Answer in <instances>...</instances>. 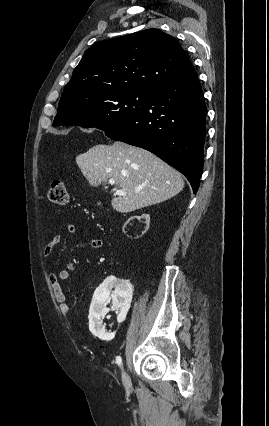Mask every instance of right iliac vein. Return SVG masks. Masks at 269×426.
<instances>
[{"mask_svg":"<svg viewBox=\"0 0 269 426\" xmlns=\"http://www.w3.org/2000/svg\"><path fill=\"white\" fill-rule=\"evenodd\" d=\"M122 383L127 390L132 389L131 379L124 369L122 370Z\"/></svg>","mask_w":269,"mask_h":426,"instance_id":"obj_1","label":"right iliac vein"}]
</instances>
